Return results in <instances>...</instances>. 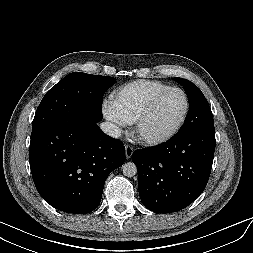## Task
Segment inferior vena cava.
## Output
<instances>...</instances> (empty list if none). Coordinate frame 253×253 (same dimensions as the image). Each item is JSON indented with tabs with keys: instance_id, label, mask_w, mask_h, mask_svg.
I'll return each instance as SVG.
<instances>
[{
	"instance_id": "1",
	"label": "inferior vena cava",
	"mask_w": 253,
	"mask_h": 253,
	"mask_svg": "<svg viewBox=\"0 0 253 253\" xmlns=\"http://www.w3.org/2000/svg\"><path fill=\"white\" fill-rule=\"evenodd\" d=\"M100 128L105 134L113 138H119L121 136V129L111 122L101 123Z\"/></svg>"
}]
</instances>
